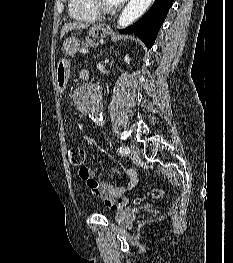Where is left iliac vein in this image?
Masks as SVG:
<instances>
[{
  "instance_id": "4c4485c4",
  "label": "left iliac vein",
  "mask_w": 233,
  "mask_h": 263,
  "mask_svg": "<svg viewBox=\"0 0 233 263\" xmlns=\"http://www.w3.org/2000/svg\"><path fill=\"white\" fill-rule=\"evenodd\" d=\"M130 157L133 160H138L140 158V151L137 146L135 145L130 146Z\"/></svg>"
}]
</instances>
